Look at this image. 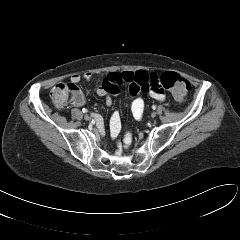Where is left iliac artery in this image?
<instances>
[{"label":"left iliac artery","mask_w":240,"mask_h":240,"mask_svg":"<svg viewBox=\"0 0 240 240\" xmlns=\"http://www.w3.org/2000/svg\"><path fill=\"white\" fill-rule=\"evenodd\" d=\"M152 108L155 110L157 107H156V105H153Z\"/></svg>","instance_id":"44dca946"}]
</instances>
